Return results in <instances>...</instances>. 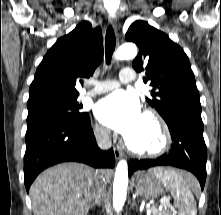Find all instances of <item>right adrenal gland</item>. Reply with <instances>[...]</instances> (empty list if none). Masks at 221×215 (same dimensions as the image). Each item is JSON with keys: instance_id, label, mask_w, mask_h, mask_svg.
Returning a JSON list of instances; mask_svg holds the SVG:
<instances>
[{"instance_id": "obj_1", "label": "right adrenal gland", "mask_w": 221, "mask_h": 215, "mask_svg": "<svg viewBox=\"0 0 221 215\" xmlns=\"http://www.w3.org/2000/svg\"><path fill=\"white\" fill-rule=\"evenodd\" d=\"M95 205L100 206V202L97 201V202L93 203L90 208H94Z\"/></svg>"}]
</instances>
